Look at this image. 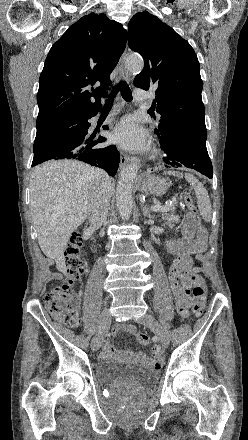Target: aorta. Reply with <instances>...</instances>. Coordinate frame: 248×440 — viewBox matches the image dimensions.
Returning a JSON list of instances; mask_svg holds the SVG:
<instances>
[{"instance_id":"obj_1","label":"aorta","mask_w":248,"mask_h":440,"mask_svg":"<svg viewBox=\"0 0 248 440\" xmlns=\"http://www.w3.org/2000/svg\"><path fill=\"white\" fill-rule=\"evenodd\" d=\"M126 68L139 73L144 67V61L139 56H130L125 62ZM139 161L133 158L131 162L120 172L116 187V206L123 219H129L133 209V185L137 177Z\"/></svg>"}]
</instances>
